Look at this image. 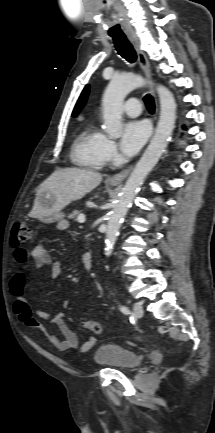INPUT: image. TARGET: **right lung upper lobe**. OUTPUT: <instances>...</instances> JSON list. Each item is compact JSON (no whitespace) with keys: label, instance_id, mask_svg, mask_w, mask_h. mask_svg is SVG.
<instances>
[{"label":"right lung upper lobe","instance_id":"cb5924a9","mask_svg":"<svg viewBox=\"0 0 215 433\" xmlns=\"http://www.w3.org/2000/svg\"><path fill=\"white\" fill-rule=\"evenodd\" d=\"M88 93H89V86L87 85L84 88V90L82 91V93H81V95H80V97H79V99L75 105L72 116L75 117L78 114V112L83 108V106L85 105Z\"/></svg>","mask_w":215,"mask_h":433}]
</instances>
